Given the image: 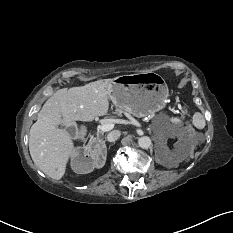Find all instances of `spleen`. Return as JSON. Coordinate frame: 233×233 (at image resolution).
Returning <instances> with one entry per match:
<instances>
[{
	"label": "spleen",
	"mask_w": 233,
	"mask_h": 233,
	"mask_svg": "<svg viewBox=\"0 0 233 233\" xmlns=\"http://www.w3.org/2000/svg\"><path fill=\"white\" fill-rule=\"evenodd\" d=\"M170 122L176 126L182 125V121L177 117L170 118ZM192 123L198 129H203L205 127V119L203 115L199 112H196L193 115Z\"/></svg>",
	"instance_id": "obj_1"
}]
</instances>
